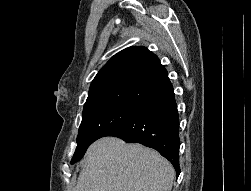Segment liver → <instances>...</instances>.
Masks as SVG:
<instances>
[{"label":"liver","mask_w":251,"mask_h":191,"mask_svg":"<svg viewBox=\"0 0 251 191\" xmlns=\"http://www.w3.org/2000/svg\"><path fill=\"white\" fill-rule=\"evenodd\" d=\"M75 191H171L174 167L151 147L101 137L88 147Z\"/></svg>","instance_id":"obj_1"}]
</instances>
